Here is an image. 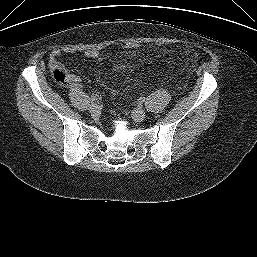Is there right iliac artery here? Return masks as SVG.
<instances>
[{
    "mask_svg": "<svg viewBox=\"0 0 257 257\" xmlns=\"http://www.w3.org/2000/svg\"><path fill=\"white\" fill-rule=\"evenodd\" d=\"M96 100H97V98H96L95 96H91V97H90V101L94 102V101H96Z\"/></svg>",
    "mask_w": 257,
    "mask_h": 257,
    "instance_id": "1",
    "label": "right iliac artery"
}]
</instances>
